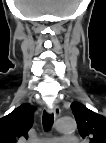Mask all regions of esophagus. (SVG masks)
I'll list each match as a JSON object with an SVG mask.
<instances>
[{
    "mask_svg": "<svg viewBox=\"0 0 106 143\" xmlns=\"http://www.w3.org/2000/svg\"><path fill=\"white\" fill-rule=\"evenodd\" d=\"M48 112L50 114H53L54 117L57 119L61 114V109L58 105H54L51 109L50 108L48 109Z\"/></svg>",
    "mask_w": 106,
    "mask_h": 143,
    "instance_id": "34e87169",
    "label": "esophagus"
}]
</instances>
